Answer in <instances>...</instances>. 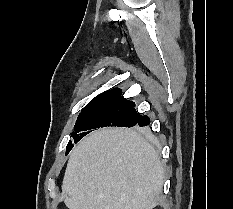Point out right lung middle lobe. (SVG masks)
Segmentation results:
<instances>
[{
    "label": "right lung middle lobe",
    "mask_w": 233,
    "mask_h": 209,
    "mask_svg": "<svg viewBox=\"0 0 233 209\" xmlns=\"http://www.w3.org/2000/svg\"><path fill=\"white\" fill-rule=\"evenodd\" d=\"M133 103H99L86 105L81 111L71 134L74 143L88 134L91 129L106 126L132 127L137 124L141 115L135 110ZM74 145L70 140L66 154Z\"/></svg>",
    "instance_id": "1"
}]
</instances>
